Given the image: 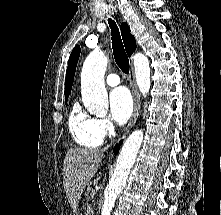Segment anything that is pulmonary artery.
<instances>
[{
	"instance_id": "e3ab8cb5",
	"label": "pulmonary artery",
	"mask_w": 221,
	"mask_h": 215,
	"mask_svg": "<svg viewBox=\"0 0 221 215\" xmlns=\"http://www.w3.org/2000/svg\"><path fill=\"white\" fill-rule=\"evenodd\" d=\"M106 83L110 86H116L120 83V78L117 74H109L106 77Z\"/></svg>"
}]
</instances>
